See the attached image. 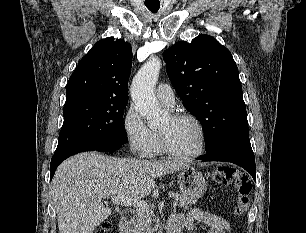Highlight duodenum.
<instances>
[{
    "label": "duodenum",
    "mask_w": 306,
    "mask_h": 233,
    "mask_svg": "<svg viewBox=\"0 0 306 233\" xmlns=\"http://www.w3.org/2000/svg\"><path fill=\"white\" fill-rule=\"evenodd\" d=\"M118 230L119 233H131L129 219L126 216H122L118 222ZM180 228L177 226L170 225L169 232L170 233H180Z\"/></svg>",
    "instance_id": "obj_1"
}]
</instances>
